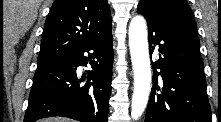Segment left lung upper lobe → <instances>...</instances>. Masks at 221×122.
Here are the masks:
<instances>
[{
    "label": "left lung upper lobe",
    "mask_w": 221,
    "mask_h": 122,
    "mask_svg": "<svg viewBox=\"0 0 221 122\" xmlns=\"http://www.w3.org/2000/svg\"><path fill=\"white\" fill-rule=\"evenodd\" d=\"M140 3L152 5L168 20H181L196 27L190 6L185 0H140Z\"/></svg>",
    "instance_id": "obj_1"
}]
</instances>
